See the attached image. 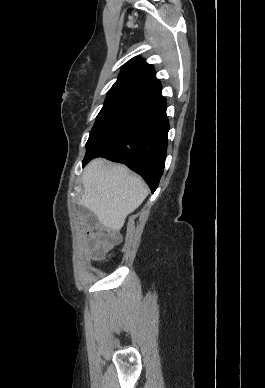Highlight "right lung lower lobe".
Listing matches in <instances>:
<instances>
[{"instance_id":"98d812e1","label":"right lung lower lobe","mask_w":265,"mask_h":388,"mask_svg":"<svg viewBox=\"0 0 265 388\" xmlns=\"http://www.w3.org/2000/svg\"><path fill=\"white\" fill-rule=\"evenodd\" d=\"M168 131L166 99L160 95L86 154L83 166L95 157L126 164L154 192L164 170Z\"/></svg>"}]
</instances>
